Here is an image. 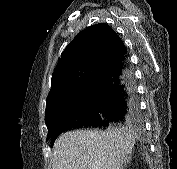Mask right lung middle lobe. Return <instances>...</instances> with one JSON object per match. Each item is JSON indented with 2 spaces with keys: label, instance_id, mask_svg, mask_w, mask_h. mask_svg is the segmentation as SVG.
<instances>
[{
  "label": "right lung middle lobe",
  "instance_id": "dd1d6c3e",
  "mask_svg": "<svg viewBox=\"0 0 177 169\" xmlns=\"http://www.w3.org/2000/svg\"><path fill=\"white\" fill-rule=\"evenodd\" d=\"M93 91L94 86L90 81L81 85L64 100L46 106L45 123L48 128L47 140L51 139L62 122L87 107Z\"/></svg>",
  "mask_w": 177,
  "mask_h": 169
}]
</instances>
